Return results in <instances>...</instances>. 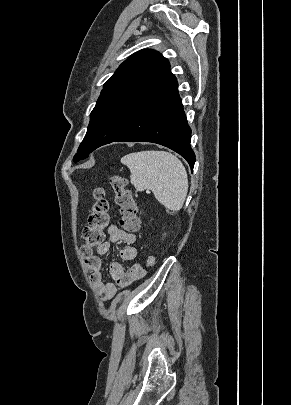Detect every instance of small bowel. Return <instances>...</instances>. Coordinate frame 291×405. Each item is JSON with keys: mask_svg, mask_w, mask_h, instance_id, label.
<instances>
[{"mask_svg": "<svg viewBox=\"0 0 291 405\" xmlns=\"http://www.w3.org/2000/svg\"><path fill=\"white\" fill-rule=\"evenodd\" d=\"M107 234L108 239L97 248V255L85 259V265L90 271L91 283L99 298L103 301H108L115 296L117 286L121 288L127 287L144 274L142 266L138 263L134 264L129 270H125L121 263L112 262L109 266V272L114 282L104 280L99 256L107 254L112 244L117 242L126 244L120 251V257L123 261H133L137 256V250L133 246L136 239L133 233L124 231L118 225L112 224L109 226Z\"/></svg>", "mask_w": 291, "mask_h": 405, "instance_id": "c3829d8e", "label": "small bowel"}]
</instances>
